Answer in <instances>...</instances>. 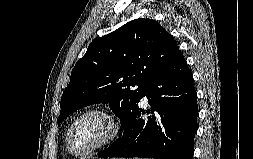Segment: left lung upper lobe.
<instances>
[{"label": "left lung upper lobe", "instance_id": "1", "mask_svg": "<svg viewBox=\"0 0 253 159\" xmlns=\"http://www.w3.org/2000/svg\"><path fill=\"white\" fill-rule=\"evenodd\" d=\"M178 51L172 36L152 19L133 20L94 40L71 72L58 125L84 106L109 103L123 127L146 85Z\"/></svg>", "mask_w": 253, "mask_h": 159}]
</instances>
